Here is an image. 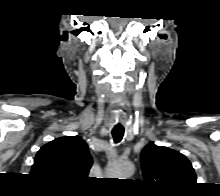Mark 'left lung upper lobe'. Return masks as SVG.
Instances as JSON below:
<instances>
[{
    "mask_svg": "<svg viewBox=\"0 0 220 196\" xmlns=\"http://www.w3.org/2000/svg\"><path fill=\"white\" fill-rule=\"evenodd\" d=\"M145 181L160 192L177 194L196 184L190 161L181 153L153 142L141 153Z\"/></svg>",
    "mask_w": 220,
    "mask_h": 196,
    "instance_id": "1",
    "label": "left lung upper lobe"
}]
</instances>
